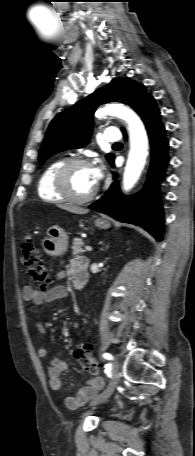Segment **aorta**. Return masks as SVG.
I'll return each instance as SVG.
<instances>
[{
	"instance_id": "762f6f07",
	"label": "aorta",
	"mask_w": 195,
	"mask_h": 456,
	"mask_svg": "<svg viewBox=\"0 0 195 456\" xmlns=\"http://www.w3.org/2000/svg\"><path fill=\"white\" fill-rule=\"evenodd\" d=\"M96 115L98 117L117 116L128 124L130 151L123 175V187L128 191L138 181L148 155V136L144 125L133 110L119 103L105 105L97 111Z\"/></svg>"
}]
</instances>
